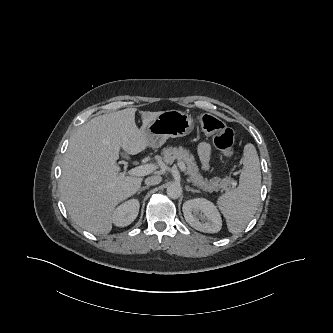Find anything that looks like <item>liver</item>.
I'll return each mask as SVG.
<instances>
[{"mask_svg":"<svg viewBox=\"0 0 333 333\" xmlns=\"http://www.w3.org/2000/svg\"><path fill=\"white\" fill-rule=\"evenodd\" d=\"M136 108L97 116L72 136L62 164L60 191L66 210L81 228L108 234L115 207L134 195L142 178L120 173V149L135 155L149 143L146 127L161 113L140 111L143 125L135 124Z\"/></svg>","mask_w":333,"mask_h":333,"instance_id":"1","label":"liver"}]
</instances>
